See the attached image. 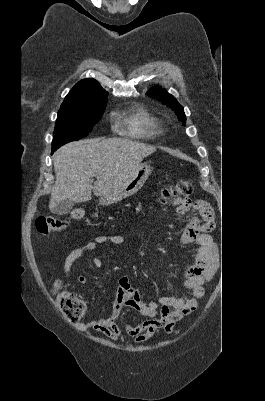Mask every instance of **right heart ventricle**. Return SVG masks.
Wrapping results in <instances>:
<instances>
[{"label": "right heart ventricle", "instance_id": "1", "mask_svg": "<svg viewBox=\"0 0 265 401\" xmlns=\"http://www.w3.org/2000/svg\"><path fill=\"white\" fill-rule=\"evenodd\" d=\"M120 113L126 115L125 127L129 133L135 136L155 135L158 133L157 119L143 106H129Z\"/></svg>", "mask_w": 265, "mask_h": 401}]
</instances>
